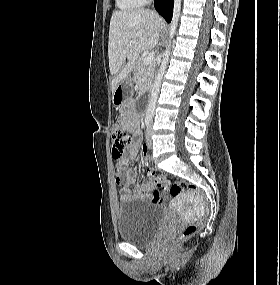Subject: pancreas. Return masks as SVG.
<instances>
[{
  "label": "pancreas",
  "mask_w": 280,
  "mask_h": 285,
  "mask_svg": "<svg viewBox=\"0 0 280 285\" xmlns=\"http://www.w3.org/2000/svg\"><path fill=\"white\" fill-rule=\"evenodd\" d=\"M155 71V63L145 64L143 58H139L134 67V81L141 92L147 91L152 83Z\"/></svg>",
  "instance_id": "cf45deb5"
}]
</instances>
